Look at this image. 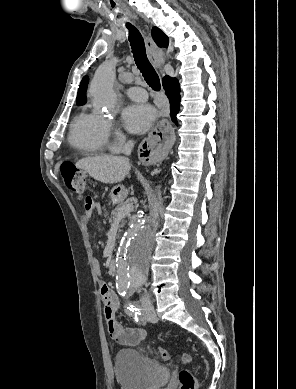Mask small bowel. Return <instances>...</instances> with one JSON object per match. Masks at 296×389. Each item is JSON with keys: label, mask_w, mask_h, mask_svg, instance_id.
Instances as JSON below:
<instances>
[{"label": "small bowel", "mask_w": 296, "mask_h": 389, "mask_svg": "<svg viewBox=\"0 0 296 389\" xmlns=\"http://www.w3.org/2000/svg\"><path fill=\"white\" fill-rule=\"evenodd\" d=\"M101 213V206L92 198L87 197L83 204L82 223L87 226L93 213ZM100 295L104 305V316L107 323V330L112 340L120 345H138L146 336L144 329L140 327L126 328L116 319V312L119 306V299L116 293L107 284L100 288Z\"/></svg>", "instance_id": "1"}]
</instances>
